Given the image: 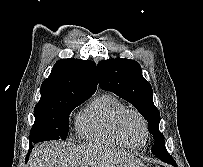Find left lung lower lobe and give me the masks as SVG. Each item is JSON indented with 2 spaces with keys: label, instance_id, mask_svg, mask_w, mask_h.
Returning <instances> with one entry per match:
<instances>
[{
  "label": "left lung lower lobe",
  "instance_id": "obj_1",
  "mask_svg": "<svg viewBox=\"0 0 203 167\" xmlns=\"http://www.w3.org/2000/svg\"><path fill=\"white\" fill-rule=\"evenodd\" d=\"M153 154L158 156L164 162H169L171 160V156L168 154L164 146L156 147Z\"/></svg>",
  "mask_w": 203,
  "mask_h": 167
}]
</instances>
